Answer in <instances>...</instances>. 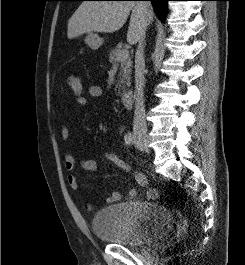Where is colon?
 I'll list each match as a JSON object with an SVG mask.
<instances>
[{
	"label": "colon",
	"instance_id": "1",
	"mask_svg": "<svg viewBox=\"0 0 245 265\" xmlns=\"http://www.w3.org/2000/svg\"><path fill=\"white\" fill-rule=\"evenodd\" d=\"M68 85L76 99V103L85 99L83 83L79 77L75 75L70 76L68 78ZM102 157L124 171L129 170L128 165L113 152H105Z\"/></svg>",
	"mask_w": 245,
	"mask_h": 265
}]
</instances>
